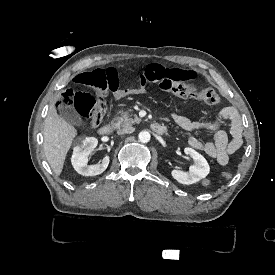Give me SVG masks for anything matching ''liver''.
Returning <instances> with one entry per match:
<instances>
[{
	"instance_id": "6515ba94",
	"label": "liver",
	"mask_w": 275,
	"mask_h": 275,
	"mask_svg": "<svg viewBox=\"0 0 275 275\" xmlns=\"http://www.w3.org/2000/svg\"><path fill=\"white\" fill-rule=\"evenodd\" d=\"M43 135L47 161L54 173L60 175L66 154L77 135V131L57 114L54 104L50 105L48 115L45 118Z\"/></svg>"
}]
</instances>
